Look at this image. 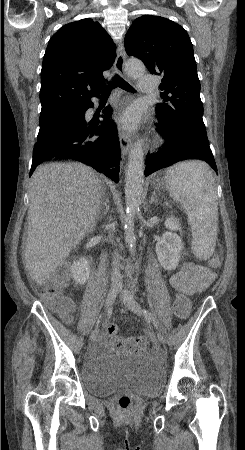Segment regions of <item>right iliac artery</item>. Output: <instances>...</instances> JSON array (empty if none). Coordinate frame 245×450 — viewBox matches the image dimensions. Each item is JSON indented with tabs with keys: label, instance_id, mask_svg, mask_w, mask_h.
Listing matches in <instances>:
<instances>
[{
	"label": "right iliac artery",
	"instance_id": "right-iliac-artery-1",
	"mask_svg": "<svg viewBox=\"0 0 245 450\" xmlns=\"http://www.w3.org/2000/svg\"><path fill=\"white\" fill-rule=\"evenodd\" d=\"M99 318H101V316ZM99 323H100V320L98 319V321L96 323L97 324L96 327H98Z\"/></svg>",
	"mask_w": 245,
	"mask_h": 450
}]
</instances>
